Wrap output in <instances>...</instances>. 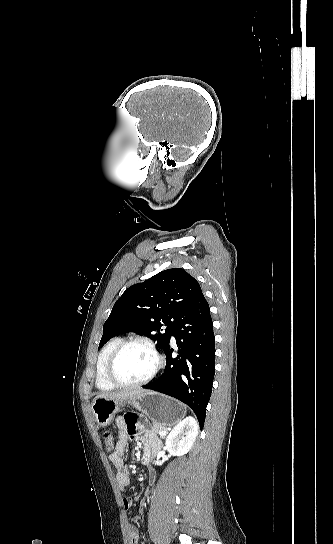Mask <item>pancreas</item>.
I'll list each match as a JSON object with an SVG mask.
<instances>
[{
  "label": "pancreas",
  "mask_w": 333,
  "mask_h": 544,
  "mask_svg": "<svg viewBox=\"0 0 333 544\" xmlns=\"http://www.w3.org/2000/svg\"><path fill=\"white\" fill-rule=\"evenodd\" d=\"M162 431H165V427L157 424H153L150 429L146 430L147 433L158 434Z\"/></svg>",
  "instance_id": "pancreas-1"
}]
</instances>
